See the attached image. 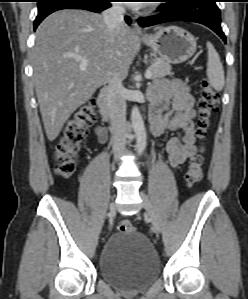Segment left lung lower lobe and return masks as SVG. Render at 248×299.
I'll use <instances>...</instances> for the list:
<instances>
[{
    "instance_id": "left-lung-lower-lobe-1",
    "label": "left lung lower lobe",
    "mask_w": 248,
    "mask_h": 299,
    "mask_svg": "<svg viewBox=\"0 0 248 299\" xmlns=\"http://www.w3.org/2000/svg\"><path fill=\"white\" fill-rule=\"evenodd\" d=\"M217 0H165L163 11L152 17L138 19L141 27H148L169 21H188L203 24L212 29L226 43L221 28L220 10Z\"/></svg>"
}]
</instances>
